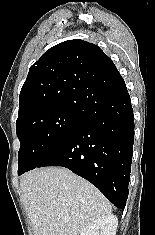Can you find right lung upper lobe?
<instances>
[{
  "label": "right lung upper lobe",
  "instance_id": "cb5924a9",
  "mask_svg": "<svg viewBox=\"0 0 155 235\" xmlns=\"http://www.w3.org/2000/svg\"><path fill=\"white\" fill-rule=\"evenodd\" d=\"M121 77L95 44L68 40L46 51L29 70L19 97V114L45 105L79 110L88 93Z\"/></svg>",
  "mask_w": 155,
  "mask_h": 235
}]
</instances>
